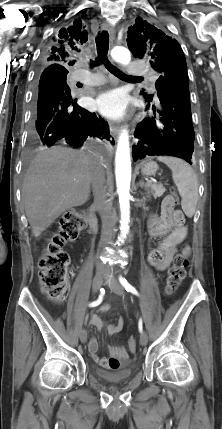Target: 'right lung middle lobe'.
I'll return each instance as SVG.
<instances>
[{"mask_svg": "<svg viewBox=\"0 0 222 429\" xmlns=\"http://www.w3.org/2000/svg\"><path fill=\"white\" fill-rule=\"evenodd\" d=\"M66 76H67V74H63V75H61V79H62L64 82H66Z\"/></svg>", "mask_w": 222, "mask_h": 429, "instance_id": "1", "label": "right lung middle lobe"}]
</instances>
